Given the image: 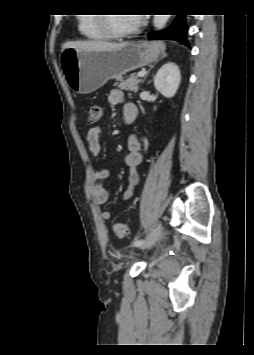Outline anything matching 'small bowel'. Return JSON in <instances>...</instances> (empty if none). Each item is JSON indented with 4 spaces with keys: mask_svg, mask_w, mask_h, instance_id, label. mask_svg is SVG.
I'll return each instance as SVG.
<instances>
[{
    "mask_svg": "<svg viewBox=\"0 0 254 355\" xmlns=\"http://www.w3.org/2000/svg\"><path fill=\"white\" fill-rule=\"evenodd\" d=\"M108 101L112 105L124 104L123 114L127 123L133 122L137 115V106L133 103H124L125 95L120 89H112L108 96ZM102 129L99 126L92 127L88 130L86 135V141L90 153L93 157H98L102 152V146L100 142ZM128 153L125 157V165L129 171L128 187L123 192L122 198L128 201L133 196V189L139 182L138 168L143 161L144 154L148 150L147 139L140 134H132L128 139ZM110 175V171L107 168L93 167L92 169V196L94 202L98 205H104L108 201L109 193L101 185V182L106 180ZM101 217L104 220H110L112 217L111 211L104 209L101 211Z\"/></svg>",
    "mask_w": 254,
    "mask_h": 355,
    "instance_id": "c3829d8e",
    "label": "small bowel"
}]
</instances>
